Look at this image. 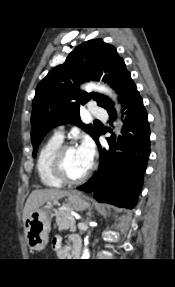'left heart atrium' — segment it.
I'll return each instance as SVG.
<instances>
[{
  "instance_id": "39dd6f15",
  "label": "left heart atrium",
  "mask_w": 175,
  "mask_h": 287,
  "mask_svg": "<svg viewBox=\"0 0 175 287\" xmlns=\"http://www.w3.org/2000/svg\"><path fill=\"white\" fill-rule=\"evenodd\" d=\"M77 148L82 154V156L85 158L86 162L91 165L95 153L92 141L89 138H84Z\"/></svg>"
}]
</instances>
